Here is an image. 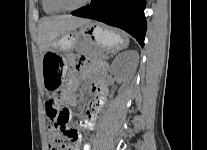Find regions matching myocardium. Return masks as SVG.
Returning <instances> with one entry per match:
<instances>
[{"instance_id": "myocardium-1", "label": "myocardium", "mask_w": 207, "mask_h": 150, "mask_svg": "<svg viewBox=\"0 0 207 150\" xmlns=\"http://www.w3.org/2000/svg\"><path fill=\"white\" fill-rule=\"evenodd\" d=\"M53 5L60 11H67V12H70V11H75V10H78V9H81L83 7H85L86 5H88L92 0H84L82 1L80 4L76 5V6H72V7H68V6H65L61 0H51Z\"/></svg>"}]
</instances>
